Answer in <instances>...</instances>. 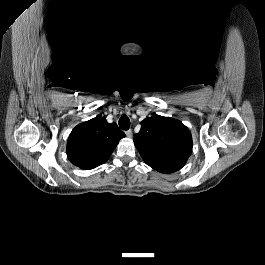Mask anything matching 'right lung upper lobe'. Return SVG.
I'll list each match as a JSON object with an SVG mask.
<instances>
[{
	"label": "right lung upper lobe",
	"instance_id": "right-lung-upper-lobe-1",
	"mask_svg": "<svg viewBox=\"0 0 265 265\" xmlns=\"http://www.w3.org/2000/svg\"><path fill=\"white\" fill-rule=\"evenodd\" d=\"M125 134L116 123L94 118L77 125L67 141V156L75 166L90 170L106 162Z\"/></svg>",
	"mask_w": 265,
	"mask_h": 265
}]
</instances>
